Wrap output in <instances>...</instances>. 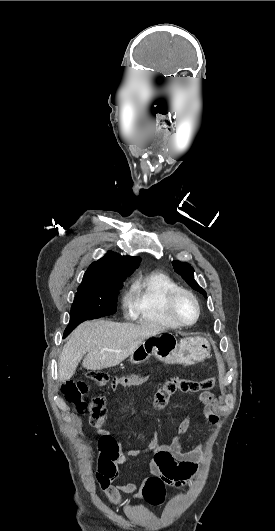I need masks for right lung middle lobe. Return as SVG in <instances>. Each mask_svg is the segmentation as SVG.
<instances>
[{
  "instance_id": "dd1d6c3e",
  "label": "right lung middle lobe",
  "mask_w": 275,
  "mask_h": 531,
  "mask_svg": "<svg viewBox=\"0 0 275 531\" xmlns=\"http://www.w3.org/2000/svg\"><path fill=\"white\" fill-rule=\"evenodd\" d=\"M123 280L124 278L82 281L74 298L70 322L65 329L64 337L85 320L114 314Z\"/></svg>"
}]
</instances>
